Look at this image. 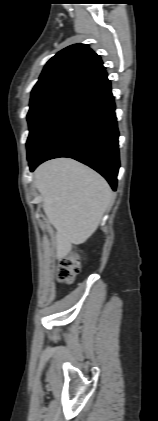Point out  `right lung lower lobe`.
Wrapping results in <instances>:
<instances>
[{
    "instance_id": "obj_1",
    "label": "right lung lower lobe",
    "mask_w": 158,
    "mask_h": 421,
    "mask_svg": "<svg viewBox=\"0 0 158 421\" xmlns=\"http://www.w3.org/2000/svg\"><path fill=\"white\" fill-rule=\"evenodd\" d=\"M114 111L110 81L102 71L80 85L55 114L28 158L30 170L52 158L70 157L95 169L116 190L120 163Z\"/></svg>"
}]
</instances>
